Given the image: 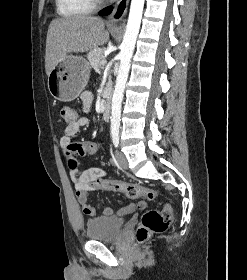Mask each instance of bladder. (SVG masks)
<instances>
[{
  "instance_id": "bladder-1",
  "label": "bladder",
  "mask_w": 247,
  "mask_h": 280,
  "mask_svg": "<svg viewBox=\"0 0 247 280\" xmlns=\"http://www.w3.org/2000/svg\"><path fill=\"white\" fill-rule=\"evenodd\" d=\"M124 220L118 217H97L86 222V237L96 241H113L122 233Z\"/></svg>"
}]
</instances>
